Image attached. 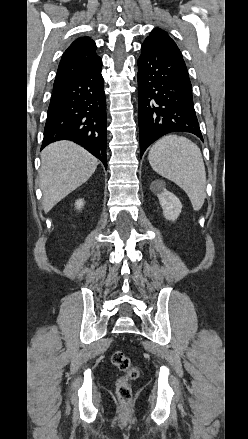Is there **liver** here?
Returning <instances> with one entry per match:
<instances>
[{
	"label": "liver",
	"mask_w": 248,
	"mask_h": 439,
	"mask_svg": "<svg viewBox=\"0 0 248 439\" xmlns=\"http://www.w3.org/2000/svg\"><path fill=\"white\" fill-rule=\"evenodd\" d=\"M98 160L70 141L48 145L41 153L40 188L43 209L49 212L58 202L85 183L95 172Z\"/></svg>",
	"instance_id": "liver-1"
}]
</instances>
